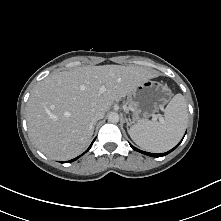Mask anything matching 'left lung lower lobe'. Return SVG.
<instances>
[{
  "instance_id": "left-lung-lower-lobe-1",
  "label": "left lung lower lobe",
  "mask_w": 221,
  "mask_h": 221,
  "mask_svg": "<svg viewBox=\"0 0 221 221\" xmlns=\"http://www.w3.org/2000/svg\"><path fill=\"white\" fill-rule=\"evenodd\" d=\"M182 140H183V139H182ZM182 140H181V142H182ZM181 142H180V143H181ZM180 143H179V144H180ZM179 144H178V145H179ZM178 145H177V146H178ZM177 146H175L173 149H171L170 151H168V152H166V153H158V154H155V153H149V152L141 151V150H139V149H137V148H135L134 146L131 145V147H132L134 150H136V151H138V152H141V153H143V154H145V155L151 156V157H162V156H164V155H167V154H169L170 152H172L174 149H176Z\"/></svg>"
}]
</instances>
